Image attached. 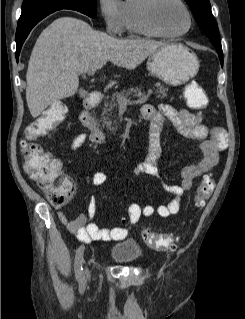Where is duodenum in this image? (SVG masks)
<instances>
[{
	"label": "duodenum",
	"mask_w": 245,
	"mask_h": 319,
	"mask_svg": "<svg viewBox=\"0 0 245 319\" xmlns=\"http://www.w3.org/2000/svg\"><path fill=\"white\" fill-rule=\"evenodd\" d=\"M101 101V93L96 90L91 91L84 100L83 110L80 114V121L84 127L90 130V139L95 145H101L104 142V134L92 115V109L100 104Z\"/></svg>",
	"instance_id": "duodenum-1"
}]
</instances>
